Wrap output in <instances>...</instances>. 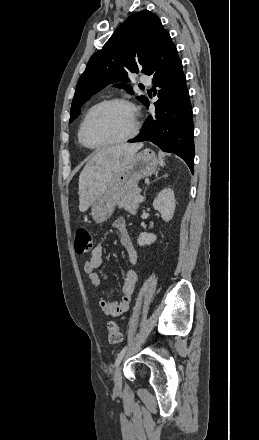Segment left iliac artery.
<instances>
[{
    "label": "left iliac artery",
    "mask_w": 259,
    "mask_h": 440,
    "mask_svg": "<svg viewBox=\"0 0 259 440\" xmlns=\"http://www.w3.org/2000/svg\"><path fill=\"white\" fill-rule=\"evenodd\" d=\"M125 352H126V347H124V348L120 351V353L118 354V357H117V359H116V361H115V366H118V365H119V363L121 362V360H122V358H123Z\"/></svg>",
    "instance_id": "1"
}]
</instances>
